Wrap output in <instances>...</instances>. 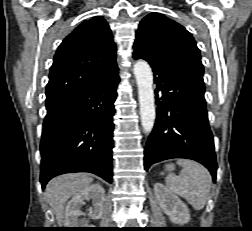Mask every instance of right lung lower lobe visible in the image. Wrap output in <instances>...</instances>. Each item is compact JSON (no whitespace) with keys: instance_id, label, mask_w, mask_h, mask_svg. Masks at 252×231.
<instances>
[{"instance_id":"obj_1","label":"right lung lower lobe","mask_w":252,"mask_h":231,"mask_svg":"<svg viewBox=\"0 0 252 231\" xmlns=\"http://www.w3.org/2000/svg\"><path fill=\"white\" fill-rule=\"evenodd\" d=\"M119 77L82 88L47 108L41 138L42 188L60 174L90 172L112 181L113 116Z\"/></svg>"}]
</instances>
